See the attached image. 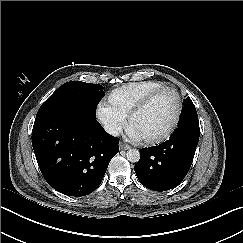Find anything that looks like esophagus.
Masks as SVG:
<instances>
[{
  "label": "esophagus",
  "instance_id": "esophagus-1",
  "mask_svg": "<svg viewBox=\"0 0 243 243\" xmlns=\"http://www.w3.org/2000/svg\"><path fill=\"white\" fill-rule=\"evenodd\" d=\"M119 147H120L121 150H128V149L131 148L130 145L123 143V142L119 143Z\"/></svg>",
  "mask_w": 243,
  "mask_h": 243
}]
</instances>
